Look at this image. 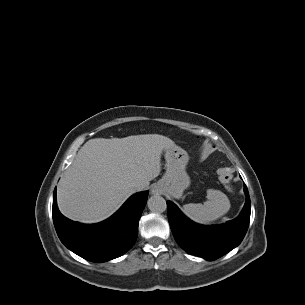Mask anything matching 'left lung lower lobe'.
<instances>
[{"instance_id":"1","label":"left lung lower lobe","mask_w":305,"mask_h":305,"mask_svg":"<svg viewBox=\"0 0 305 305\" xmlns=\"http://www.w3.org/2000/svg\"><path fill=\"white\" fill-rule=\"evenodd\" d=\"M246 203L241 214L223 225H198L185 217L178 207L167 201L169 224L176 242L187 253L212 261L225 255L243 240L250 220V197L247 187Z\"/></svg>"}]
</instances>
